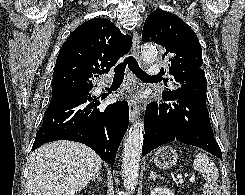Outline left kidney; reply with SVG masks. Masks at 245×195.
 <instances>
[{
  "label": "left kidney",
  "mask_w": 245,
  "mask_h": 195,
  "mask_svg": "<svg viewBox=\"0 0 245 195\" xmlns=\"http://www.w3.org/2000/svg\"><path fill=\"white\" fill-rule=\"evenodd\" d=\"M150 195H174V193L166 188H154Z\"/></svg>",
  "instance_id": "5707ae66"
}]
</instances>
